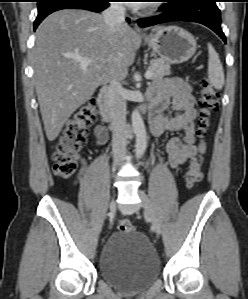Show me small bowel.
<instances>
[{
    "label": "small bowel",
    "instance_id": "small-bowel-1",
    "mask_svg": "<svg viewBox=\"0 0 248 299\" xmlns=\"http://www.w3.org/2000/svg\"><path fill=\"white\" fill-rule=\"evenodd\" d=\"M152 102L151 128L156 138H161L169 131H181L182 137L171 138L167 143L169 164L177 168L193 156L203 153L204 141L196 143L195 123L198 111L191 86L180 78L163 80L150 88ZM95 143L103 145L108 139L105 128H95Z\"/></svg>",
    "mask_w": 248,
    "mask_h": 299
}]
</instances>
